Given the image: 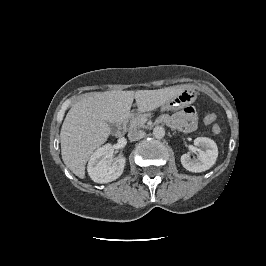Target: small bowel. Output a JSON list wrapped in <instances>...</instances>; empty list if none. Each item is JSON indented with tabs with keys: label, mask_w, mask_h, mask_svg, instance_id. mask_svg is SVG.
Segmentation results:
<instances>
[{
	"label": "small bowel",
	"mask_w": 266,
	"mask_h": 266,
	"mask_svg": "<svg viewBox=\"0 0 266 266\" xmlns=\"http://www.w3.org/2000/svg\"><path fill=\"white\" fill-rule=\"evenodd\" d=\"M160 122L183 132H191L197 126V114L195 108L189 106L182 111L168 115H162Z\"/></svg>",
	"instance_id": "obj_1"
}]
</instances>
